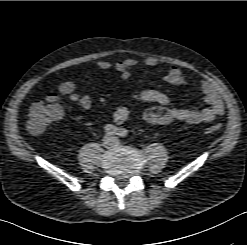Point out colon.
Here are the masks:
<instances>
[{
    "instance_id": "1",
    "label": "colon",
    "mask_w": 247,
    "mask_h": 245,
    "mask_svg": "<svg viewBox=\"0 0 247 245\" xmlns=\"http://www.w3.org/2000/svg\"><path fill=\"white\" fill-rule=\"evenodd\" d=\"M62 114L60 109L52 104L42 102L34 103L28 114L27 128L33 134L42 133L51 123L59 120ZM222 124L219 122L208 125L205 132L214 134L220 131Z\"/></svg>"
}]
</instances>
